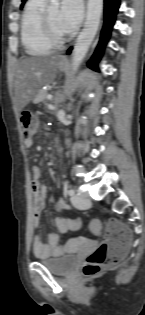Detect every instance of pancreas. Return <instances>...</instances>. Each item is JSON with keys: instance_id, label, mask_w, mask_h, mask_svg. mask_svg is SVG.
I'll return each instance as SVG.
<instances>
[{"instance_id": "cf45deb5", "label": "pancreas", "mask_w": 145, "mask_h": 315, "mask_svg": "<svg viewBox=\"0 0 145 315\" xmlns=\"http://www.w3.org/2000/svg\"><path fill=\"white\" fill-rule=\"evenodd\" d=\"M47 95H48V92L47 91H41L40 93H39V99L41 100V101H47Z\"/></svg>"}]
</instances>
